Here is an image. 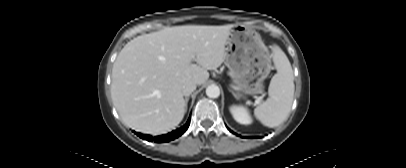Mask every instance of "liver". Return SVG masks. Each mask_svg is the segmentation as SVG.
Instances as JSON below:
<instances>
[{
	"instance_id": "1",
	"label": "liver",
	"mask_w": 406,
	"mask_h": 168,
	"mask_svg": "<svg viewBox=\"0 0 406 168\" xmlns=\"http://www.w3.org/2000/svg\"><path fill=\"white\" fill-rule=\"evenodd\" d=\"M233 26L166 27L129 41L112 68L111 96L123 123L152 135L177 126L186 112L182 86L204 84L222 64Z\"/></svg>"
}]
</instances>
